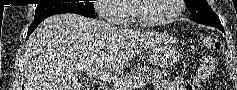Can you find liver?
I'll list each match as a JSON object with an SVG mask.
<instances>
[{"label": "liver", "instance_id": "1", "mask_svg": "<svg viewBox=\"0 0 237 90\" xmlns=\"http://www.w3.org/2000/svg\"><path fill=\"white\" fill-rule=\"evenodd\" d=\"M157 40L155 32L118 30L77 14L50 16L25 44L24 90H92L78 84V66L89 74L120 72Z\"/></svg>", "mask_w": 237, "mask_h": 90}]
</instances>
